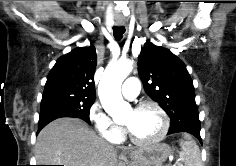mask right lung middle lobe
Instances as JSON below:
<instances>
[{"instance_id":"dd1d6c3e","label":"right lung middle lobe","mask_w":236,"mask_h":166,"mask_svg":"<svg viewBox=\"0 0 236 166\" xmlns=\"http://www.w3.org/2000/svg\"><path fill=\"white\" fill-rule=\"evenodd\" d=\"M95 97L71 95L62 92L43 94L39 124L49 123L61 117H77L90 123V108Z\"/></svg>"}]
</instances>
